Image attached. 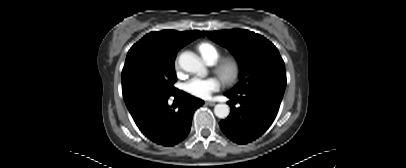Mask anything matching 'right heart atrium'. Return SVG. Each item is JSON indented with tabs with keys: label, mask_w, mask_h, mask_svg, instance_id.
I'll use <instances>...</instances> for the list:
<instances>
[{
	"label": "right heart atrium",
	"mask_w": 406,
	"mask_h": 168,
	"mask_svg": "<svg viewBox=\"0 0 406 168\" xmlns=\"http://www.w3.org/2000/svg\"><path fill=\"white\" fill-rule=\"evenodd\" d=\"M174 67H175L176 71L179 70V61H178V58H176L175 61H174Z\"/></svg>",
	"instance_id": "obj_1"
}]
</instances>
